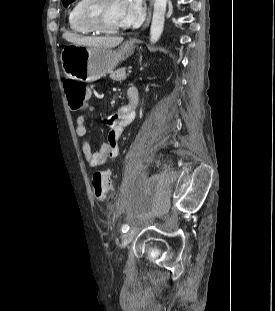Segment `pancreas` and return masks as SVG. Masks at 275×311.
I'll return each instance as SVG.
<instances>
[{
	"instance_id": "1",
	"label": "pancreas",
	"mask_w": 275,
	"mask_h": 311,
	"mask_svg": "<svg viewBox=\"0 0 275 311\" xmlns=\"http://www.w3.org/2000/svg\"><path fill=\"white\" fill-rule=\"evenodd\" d=\"M110 78L114 81H123L126 79L125 68H119L110 74Z\"/></svg>"
}]
</instances>
